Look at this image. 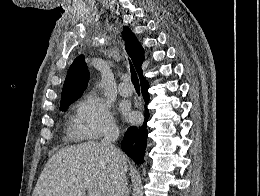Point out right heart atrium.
<instances>
[{"label":"right heart atrium","instance_id":"1","mask_svg":"<svg viewBox=\"0 0 260 196\" xmlns=\"http://www.w3.org/2000/svg\"><path fill=\"white\" fill-rule=\"evenodd\" d=\"M117 128L110 106L95 92L86 94L78 102L70 123V129L82 143H104L97 140L106 132Z\"/></svg>","mask_w":260,"mask_h":196}]
</instances>
